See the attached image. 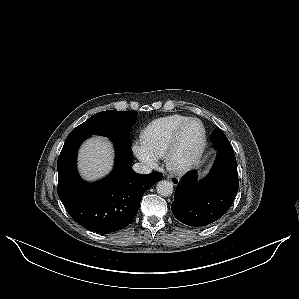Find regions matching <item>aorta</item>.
<instances>
[{"instance_id": "obj_1", "label": "aorta", "mask_w": 299, "mask_h": 299, "mask_svg": "<svg viewBox=\"0 0 299 299\" xmlns=\"http://www.w3.org/2000/svg\"><path fill=\"white\" fill-rule=\"evenodd\" d=\"M157 193L163 197H168L173 193V184L167 180H161L156 186Z\"/></svg>"}]
</instances>
